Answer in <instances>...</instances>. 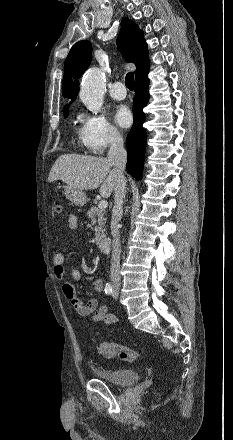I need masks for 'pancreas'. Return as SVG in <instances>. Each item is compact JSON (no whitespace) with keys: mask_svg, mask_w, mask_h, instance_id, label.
<instances>
[{"mask_svg":"<svg viewBox=\"0 0 233 440\" xmlns=\"http://www.w3.org/2000/svg\"><path fill=\"white\" fill-rule=\"evenodd\" d=\"M105 210L100 209L99 207H91L88 212L87 216L91 220L92 225H95V241L100 242L102 239L105 238Z\"/></svg>","mask_w":233,"mask_h":440,"instance_id":"1","label":"pancreas"}]
</instances>
